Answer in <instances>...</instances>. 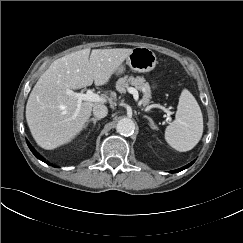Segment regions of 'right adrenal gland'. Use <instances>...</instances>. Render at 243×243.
Wrapping results in <instances>:
<instances>
[{"mask_svg":"<svg viewBox=\"0 0 243 243\" xmlns=\"http://www.w3.org/2000/svg\"><path fill=\"white\" fill-rule=\"evenodd\" d=\"M98 120H100L99 118H91V119H89L87 122H86V124H85V128L88 126V124L90 123V122H93V127L96 125V122L98 121Z\"/></svg>","mask_w":243,"mask_h":243,"instance_id":"2a0ac1e0","label":"right adrenal gland"}]
</instances>
